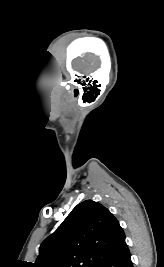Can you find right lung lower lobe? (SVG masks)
Returning a JSON list of instances; mask_svg holds the SVG:
<instances>
[{
  "label": "right lung lower lobe",
  "mask_w": 164,
  "mask_h": 267,
  "mask_svg": "<svg viewBox=\"0 0 164 267\" xmlns=\"http://www.w3.org/2000/svg\"><path fill=\"white\" fill-rule=\"evenodd\" d=\"M100 267H133L127 245L106 259Z\"/></svg>",
  "instance_id": "right-lung-lower-lobe-1"
}]
</instances>
